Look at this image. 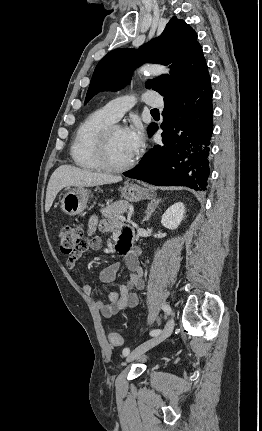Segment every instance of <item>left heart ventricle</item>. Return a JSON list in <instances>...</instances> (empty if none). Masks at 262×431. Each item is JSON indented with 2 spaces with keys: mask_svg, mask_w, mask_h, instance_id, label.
<instances>
[{
  "mask_svg": "<svg viewBox=\"0 0 262 431\" xmlns=\"http://www.w3.org/2000/svg\"><path fill=\"white\" fill-rule=\"evenodd\" d=\"M124 129L116 130L109 142V158L114 165H122L133 158Z\"/></svg>",
  "mask_w": 262,
  "mask_h": 431,
  "instance_id": "b2bd125f",
  "label": "left heart ventricle"
}]
</instances>
